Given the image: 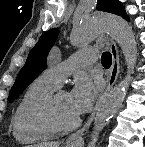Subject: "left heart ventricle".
I'll use <instances>...</instances> for the list:
<instances>
[{"mask_svg": "<svg viewBox=\"0 0 145 147\" xmlns=\"http://www.w3.org/2000/svg\"><path fill=\"white\" fill-rule=\"evenodd\" d=\"M57 109L65 121L74 120L77 116L74 114L71 107L70 93L62 92L57 100Z\"/></svg>", "mask_w": 145, "mask_h": 147, "instance_id": "obj_1", "label": "left heart ventricle"}]
</instances>
